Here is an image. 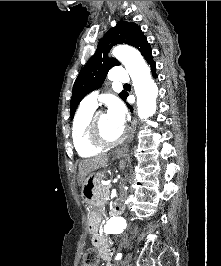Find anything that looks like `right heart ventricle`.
Masks as SVG:
<instances>
[{
    "mask_svg": "<svg viewBox=\"0 0 221 266\" xmlns=\"http://www.w3.org/2000/svg\"><path fill=\"white\" fill-rule=\"evenodd\" d=\"M94 113V108L80 106L74 117L72 126V140L74 148L83 158L96 156L101 152L100 147H97L88 139V123Z\"/></svg>",
    "mask_w": 221,
    "mask_h": 266,
    "instance_id": "1",
    "label": "right heart ventricle"
}]
</instances>
